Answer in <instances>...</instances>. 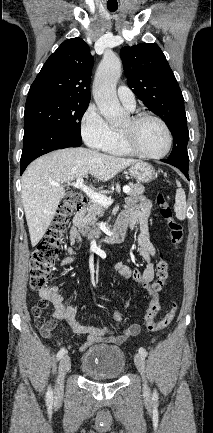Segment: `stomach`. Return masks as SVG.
<instances>
[{
    "instance_id": "1",
    "label": "stomach",
    "mask_w": 213,
    "mask_h": 433,
    "mask_svg": "<svg viewBox=\"0 0 213 433\" xmlns=\"http://www.w3.org/2000/svg\"><path fill=\"white\" fill-rule=\"evenodd\" d=\"M128 171L131 176L143 183L152 181L156 174L154 168L145 162L132 164Z\"/></svg>"
}]
</instances>
